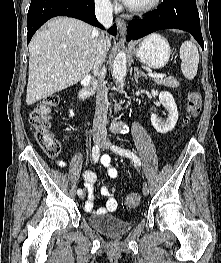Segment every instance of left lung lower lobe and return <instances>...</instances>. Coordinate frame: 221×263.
Masks as SVG:
<instances>
[{
	"instance_id": "obj_1",
	"label": "left lung lower lobe",
	"mask_w": 221,
	"mask_h": 263,
	"mask_svg": "<svg viewBox=\"0 0 221 263\" xmlns=\"http://www.w3.org/2000/svg\"><path fill=\"white\" fill-rule=\"evenodd\" d=\"M176 28L187 31L204 49L196 0H163L153 12L134 19L127 27V40L139 39L154 31Z\"/></svg>"
}]
</instances>
